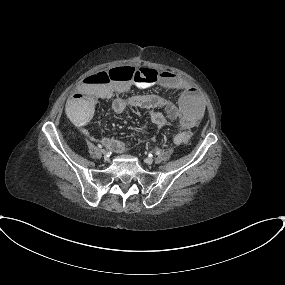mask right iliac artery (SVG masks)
<instances>
[{"mask_svg": "<svg viewBox=\"0 0 285 285\" xmlns=\"http://www.w3.org/2000/svg\"><path fill=\"white\" fill-rule=\"evenodd\" d=\"M97 147L101 149L103 146L101 144H97Z\"/></svg>", "mask_w": 285, "mask_h": 285, "instance_id": "82829eb1", "label": "right iliac artery"}]
</instances>
